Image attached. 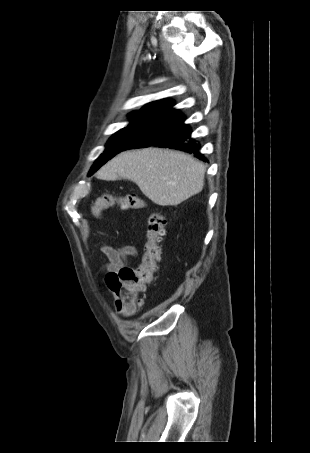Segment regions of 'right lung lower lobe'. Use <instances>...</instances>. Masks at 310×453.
Instances as JSON below:
<instances>
[{
  "label": "right lung lower lobe",
  "mask_w": 310,
  "mask_h": 453,
  "mask_svg": "<svg viewBox=\"0 0 310 453\" xmlns=\"http://www.w3.org/2000/svg\"><path fill=\"white\" fill-rule=\"evenodd\" d=\"M184 121L185 116L179 110L170 108L123 150L158 145L193 153L199 159L206 161L199 152L200 145L191 138V128Z\"/></svg>",
  "instance_id": "obj_1"
}]
</instances>
